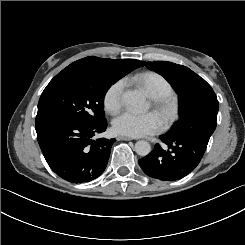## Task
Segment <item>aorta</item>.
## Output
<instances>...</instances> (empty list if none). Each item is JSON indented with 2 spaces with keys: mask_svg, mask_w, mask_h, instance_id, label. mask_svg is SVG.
I'll list each match as a JSON object with an SVG mask.
<instances>
[{
  "mask_svg": "<svg viewBox=\"0 0 245 245\" xmlns=\"http://www.w3.org/2000/svg\"><path fill=\"white\" fill-rule=\"evenodd\" d=\"M122 99L128 107L137 111L144 110L147 107L146 100L139 91H126ZM135 152L140 156H147L151 152V146L147 141H137L135 144Z\"/></svg>",
  "mask_w": 245,
  "mask_h": 245,
  "instance_id": "obj_1",
  "label": "aorta"
}]
</instances>
